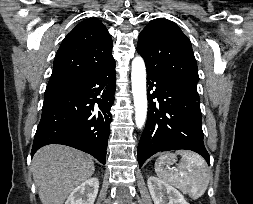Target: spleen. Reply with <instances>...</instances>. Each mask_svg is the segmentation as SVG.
I'll return each instance as SVG.
<instances>
[{
	"label": "spleen",
	"instance_id": "obj_1",
	"mask_svg": "<svg viewBox=\"0 0 253 204\" xmlns=\"http://www.w3.org/2000/svg\"><path fill=\"white\" fill-rule=\"evenodd\" d=\"M181 162L177 167L170 168L166 164L169 154H162L155 162V172L163 181L188 193L193 199L201 197L208 188L211 171L206 161L197 153L179 150ZM166 165V167H164Z\"/></svg>",
	"mask_w": 253,
	"mask_h": 204
}]
</instances>
